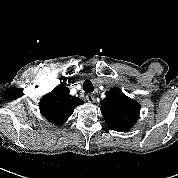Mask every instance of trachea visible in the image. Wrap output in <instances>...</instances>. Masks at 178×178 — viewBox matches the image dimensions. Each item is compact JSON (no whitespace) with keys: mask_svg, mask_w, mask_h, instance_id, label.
Instances as JSON below:
<instances>
[{"mask_svg":"<svg viewBox=\"0 0 178 178\" xmlns=\"http://www.w3.org/2000/svg\"><path fill=\"white\" fill-rule=\"evenodd\" d=\"M83 89L86 93H91L94 91V86L90 80H85L83 84Z\"/></svg>","mask_w":178,"mask_h":178,"instance_id":"trachea-1","label":"trachea"}]
</instances>
